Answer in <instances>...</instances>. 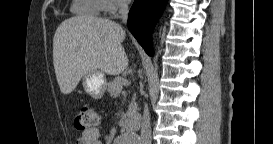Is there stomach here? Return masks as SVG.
<instances>
[{
	"mask_svg": "<svg viewBox=\"0 0 273 144\" xmlns=\"http://www.w3.org/2000/svg\"><path fill=\"white\" fill-rule=\"evenodd\" d=\"M82 84L87 94L95 99H101L107 83L103 72L92 71L83 76Z\"/></svg>",
	"mask_w": 273,
	"mask_h": 144,
	"instance_id": "stomach-1",
	"label": "stomach"
}]
</instances>
